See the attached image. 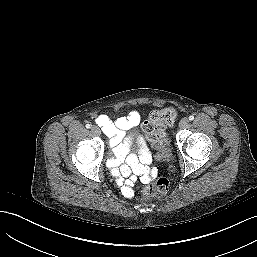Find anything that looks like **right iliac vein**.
<instances>
[{"instance_id":"63e3f726","label":"right iliac vein","mask_w":257,"mask_h":257,"mask_svg":"<svg viewBox=\"0 0 257 257\" xmlns=\"http://www.w3.org/2000/svg\"><path fill=\"white\" fill-rule=\"evenodd\" d=\"M91 131L95 135H100L101 134V131H100V129L97 126H92L91 127Z\"/></svg>"}]
</instances>
